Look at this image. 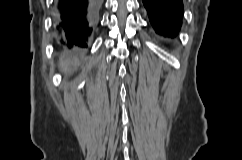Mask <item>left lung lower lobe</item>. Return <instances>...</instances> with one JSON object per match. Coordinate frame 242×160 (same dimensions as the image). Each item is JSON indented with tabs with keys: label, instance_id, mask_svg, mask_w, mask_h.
I'll return each mask as SVG.
<instances>
[{
	"label": "left lung lower lobe",
	"instance_id": "0a47b994",
	"mask_svg": "<svg viewBox=\"0 0 242 160\" xmlns=\"http://www.w3.org/2000/svg\"><path fill=\"white\" fill-rule=\"evenodd\" d=\"M155 31L174 37L182 24V0H142Z\"/></svg>",
	"mask_w": 242,
	"mask_h": 160
}]
</instances>
